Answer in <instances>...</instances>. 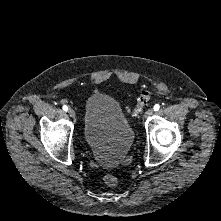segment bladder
I'll return each mask as SVG.
<instances>
[{
  "label": "bladder",
  "mask_w": 221,
  "mask_h": 221,
  "mask_svg": "<svg viewBox=\"0 0 221 221\" xmlns=\"http://www.w3.org/2000/svg\"><path fill=\"white\" fill-rule=\"evenodd\" d=\"M83 133L98 163L117 166L134 142V130L120 103L106 93H93L85 102Z\"/></svg>",
  "instance_id": "bladder-1"
}]
</instances>
